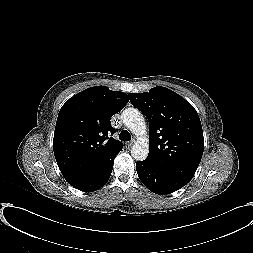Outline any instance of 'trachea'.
<instances>
[{
	"label": "trachea",
	"instance_id": "obj_1",
	"mask_svg": "<svg viewBox=\"0 0 253 253\" xmlns=\"http://www.w3.org/2000/svg\"><path fill=\"white\" fill-rule=\"evenodd\" d=\"M119 138L122 141H130L131 140V135L127 130H123V131H121V133L119 135Z\"/></svg>",
	"mask_w": 253,
	"mask_h": 253
}]
</instances>
